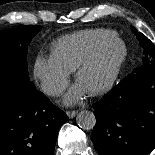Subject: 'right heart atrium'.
<instances>
[{
	"instance_id": "right-heart-atrium-1",
	"label": "right heart atrium",
	"mask_w": 155,
	"mask_h": 155,
	"mask_svg": "<svg viewBox=\"0 0 155 155\" xmlns=\"http://www.w3.org/2000/svg\"><path fill=\"white\" fill-rule=\"evenodd\" d=\"M34 75L42 90L50 96H59L66 89L69 72L59 65L52 56H38L34 63Z\"/></svg>"
}]
</instances>
